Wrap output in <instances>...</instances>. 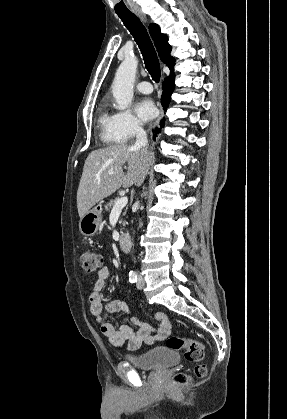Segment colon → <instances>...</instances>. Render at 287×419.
<instances>
[{
	"label": "colon",
	"instance_id": "obj_1",
	"mask_svg": "<svg viewBox=\"0 0 287 419\" xmlns=\"http://www.w3.org/2000/svg\"><path fill=\"white\" fill-rule=\"evenodd\" d=\"M79 261L85 275H92L103 268V257L94 250H83L79 255ZM166 346L176 351L184 352L187 361L196 363L194 367L195 375L203 378L206 375V365L203 363L205 358L204 346L197 341L182 338L178 336H169L166 338ZM176 385H186L192 382L190 376L184 373H178L173 377Z\"/></svg>",
	"mask_w": 287,
	"mask_h": 419
}]
</instances>
